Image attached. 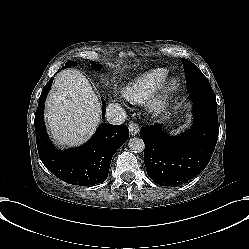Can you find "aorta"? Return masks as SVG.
<instances>
[{
	"instance_id": "762f6f07",
	"label": "aorta",
	"mask_w": 249,
	"mask_h": 249,
	"mask_svg": "<svg viewBox=\"0 0 249 249\" xmlns=\"http://www.w3.org/2000/svg\"><path fill=\"white\" fill-rule=\"evenodd\" d=\"M128 147L134 153H142L145 150V143L141 138L133 137L129 139Z\"/></svg>"
}]
</instances>
